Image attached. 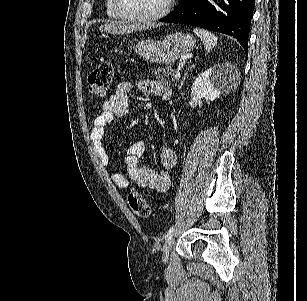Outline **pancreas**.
I'll use <instances>...</instances> for the list:
<instances>
[{"label": "pancreas", "mask_w": 307, "mask_h": 301, "mask_svg": "<svg viewBox=\"0 0 307 301\" xmlns=\"http://www.w3.org/2000/svg\"><path fill=\"white\" fill-rule=\"evenodd\" d=\"M159 72H163V74H159ZM175 72L176 70L171 68V66H164V68H158V70H155V74H157V76H161V78H168V80H177Z\"/></svg>", "instance_id": "pancreas-1"}]
</instances>
